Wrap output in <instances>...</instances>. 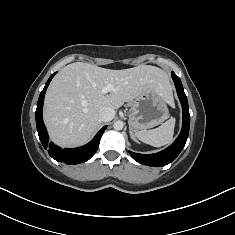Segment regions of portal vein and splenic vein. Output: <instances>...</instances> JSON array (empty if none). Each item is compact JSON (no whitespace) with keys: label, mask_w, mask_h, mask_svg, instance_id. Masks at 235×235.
Here are the masks:
<instances>
[{"label":"portal vein and splenic vein","mask_w":235,"mask_h":235,"mask_svg":"<svg viewBox=\"0 0 235 235\" xmlns=\"http://www.w3.org/2000/svg\"><path fill=\"white\" fill-rule=\"evenodd\" d=\"M112 90H114V86L111 85V84H108L107 86L103 87V89H102L101 92H102L103 94H106V93H108V92H110V91H112Z\"/></svg>","instance_id":"18ae733b"}]
</instances>
